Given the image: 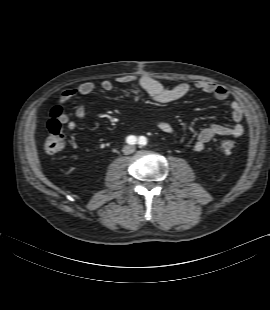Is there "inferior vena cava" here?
I'll return each instance as SVG.
<instances>
[{"label":"inferior vena cava","instance_id":"602c4592","mask_svg":"<svg viewBox=\"0 0 270 310\" xmlns=\"http://www.w3.org/2000/svg\"><path fill=\"white\" fill-rule=\"evenodd\" d=\"M123 151L125 154H131L134 152V147L133 146H126Z\"/></svg>","mask_w":270,"mask_h":310}]
</instances>
